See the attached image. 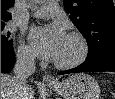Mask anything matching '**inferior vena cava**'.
<instances>
[{
  "label": "inferior vena cava",
  "mask_w": 115,
  "mask_h": 99,
  "mask_svg": "<svg viewBox=\"0 0 115 99\" xmlns=\"http://www.w3.org/2000/svg\"><path fill=\"white\" fill-rule=\"evenodd\" d=\"M34 57L28 53H18L14 66V91L16 99H24L28 90L26 80L35 72Z\"/></svg>",
  "instance_id": "602c4592"
}]
</instances>
